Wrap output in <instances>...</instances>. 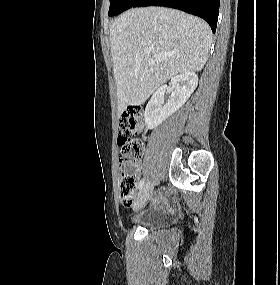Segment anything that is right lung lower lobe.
Wrapping results in <instances>:
<instances>
[{
	"label": "right lung lower lobe",
	"mask_w": 280,
	"mask_h": 285,
	"mask_svg": "<svg viewBox=\"0 0 280 285\" xmlns=\"http://www.w3.org/2000/svg\"><path fill=\"white\" fill-rule=\"evenodd\" d=\"M165 6L203 18L216 31L220 0H138L133 7Z\"/></svg>",
	"instance_id": "obj_1"
}]
</instances>
